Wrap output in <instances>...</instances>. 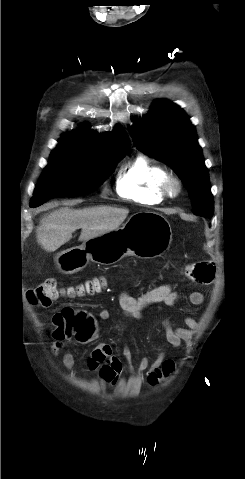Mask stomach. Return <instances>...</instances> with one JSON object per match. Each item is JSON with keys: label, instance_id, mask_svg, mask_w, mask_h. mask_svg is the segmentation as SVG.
<instances>
[{"label": "stomach", "instance_id": "1", "mask_svg": "<svg viewBox=\"0 0 245 479\" xmlns=\"http://www.w3.org/2000/svg\"><path fill=\"white\" fill-rule=\"evenodd\" d=\"M171 241L172 229L163 215L152 211L138 212L122 227L58 253L55 261L61 272L72 274L85 268L89 261L112 265L127 256L159 257Z\"/></svg>", "mask_w": 245, "mask_h": 479}]
</instances>
